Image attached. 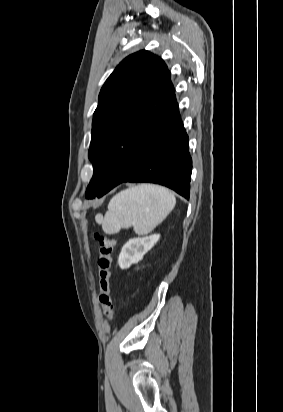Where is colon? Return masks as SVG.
Listing matches in <instances>:
<instances>
[{
    "instance_id": "5ec220e1",
    "label": "colon",
    "mask_w": 283,
    "mask_h": 412,
    "mask_svg": "<svg viewBox=\"0 0 283 412\" xmlns=\"http://www.w3.org/2000/svg\"><path fill=\"white\" fill-rule=\"evenodd\" d=\"M97 242V267L99 277L98 300L105 316L109 320L114 318V303L111 297V276L113 263V250L115 241L109 236L100 233L95 234Z\"/></svg>"
}]
</instances>
